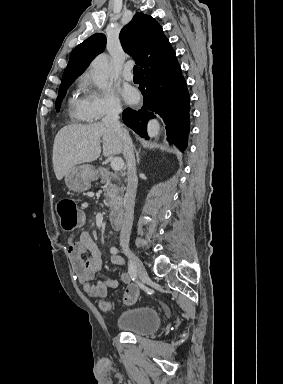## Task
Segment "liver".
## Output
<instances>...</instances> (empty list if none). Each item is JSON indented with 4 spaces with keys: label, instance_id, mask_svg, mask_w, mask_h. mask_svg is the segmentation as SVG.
Instances as JSON below:
<instances>
[{
    "label": "liver",
    "instance_id": "obj_1",
    "mask_svg": "<svg viewBox=\"0 0 283 384\" xmlns=\"http://www.w3.org/2000/svg\"><path fill=\"white\" fill-rule=\"evenodd\" d=\"M100 142H103V156H115L123 152L116 128L103 122L72 124L61 128L54 140L52 158L57 180H62L77 164L95 162L101 154Z\"/></svg>",
    "mask_w": 283,
    "mask_h": 384
}]
</instances>
